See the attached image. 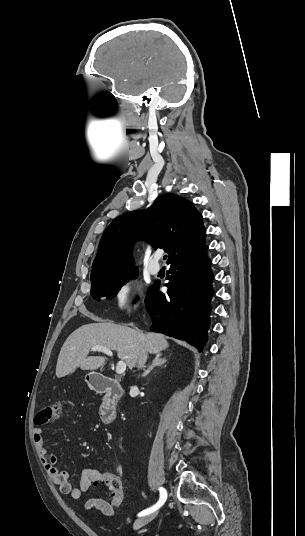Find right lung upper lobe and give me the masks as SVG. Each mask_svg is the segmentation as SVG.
Masks as SVG:
<instances>
[{
  "label": "right lung upper lobe",
  "mask_w": 305,
  "mask_h": 536,
  "mask_svg": "<svg viewBox=\"0 0 305 536\" xmlns=\"http://www.w3.org/2000/svg\"><path fill=\"white\" fill-rule=\"evenodd\" d=\"M139 238H145L154 249H165L168 263L184 258L205 246L202 215L190 201L169 193L158 197L146 210L118 216L103 233L91 281L138 270L129 252Z\"/></svg>",
  "instance_id": "cb5924a9"
}]
</instances>
